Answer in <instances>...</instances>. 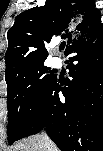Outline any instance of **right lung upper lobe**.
<instances>
[{"label": "right lung upper lobe", "mask_w": 103, "mask_h": 151, "mask_svg": "<svg viewBox=\"0 0 103 151\" xmlns=\"http://www.w3.org/2000/svg\"><path fill=\"white\" fill-rule=\"evenodd\" d=\"M95 11L92 0H47L19 14L7 33L6 83L25 68L43 63L48 56L45 45L52 38L62 36L72 44L102 25Z\"/></svg>", "instance_id": "cb5924a9"}]
</instances>
